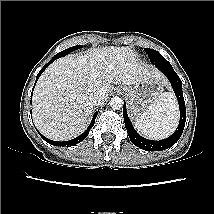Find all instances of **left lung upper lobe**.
I'll return each mask as SVG.
<instances>
[{
  "label": "left lung upper lobe",
  "mask_w": 214,
  "mask_h": 214,
  "mask_svg": "<svg viewBox=\"0 0 214 214\" xmlns=\"http://www.w3.org/2000/svg\"><path fill=\"white\" fill-rule=\"evenodd\" d=\"M145 52L148 54L150 61L156 67H169L171 64L156 50L146 48Z\"/></svg>",
  "instance_id": "left-lung-upper-lobe-1"
}]
</instances>
